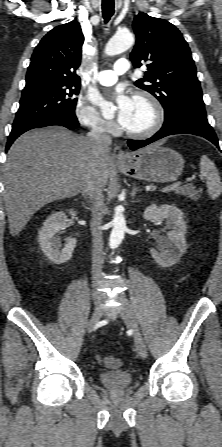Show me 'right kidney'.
Here are the masks:
<instances>
[{"label": "right kidney", "instance_id": "1", "mask_svg": "<svg viewBox=\"0 0 222 447\" xmlns=\"http://www.w3.org/2000/svg\"><path fill=\"white\" fill-rule=\"evenodd\" d=\"M71 216H76V211L69 210ZM67 215L63 211L54 212L44 222L38 232V241L45 256L55 264H62L70 260L77 240L67 238L64 248L61 249L57 237L61 230L67 227Z\"/></svg>", "mask_w": 222, "mask_h": 447}]
</instances>
